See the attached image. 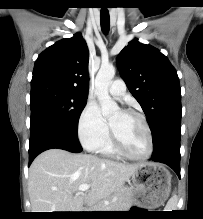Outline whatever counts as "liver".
<instances>
[{"instance_id": "1", "label": "liver", "mask_w": 203, "mask_h": 219, "mask_svg": "<svg viewBox=\"0 0 203 219\" xmlns=\"http://www.w3.org/2000/svg\"><path fill=\"white\" fill-rule=\"evenodd\" d=\"M138 167L90 154L47 150L30 166L31 208L33 212H81L87 202H99L121 189ZM81 184L90 185L86 194L78 191Z\"/></svg>"}]
</instances>
